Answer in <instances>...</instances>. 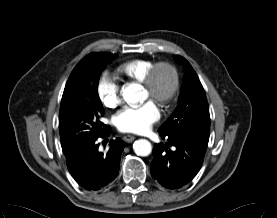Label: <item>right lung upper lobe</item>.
Instances as JSON below:
<instances>
[{
  "label": "right lung upper lobe",
  "instance_id": "1",
  "mask_svg": "<svg viewBox=\"0 0 277 218\" xmlns=\"http://www.w3.org/2000/svg\"><path fill=\"white\" fill-rule=\"evenodd\" d=\"M87 56H100V57H104V58H107V59H114L116 57V55H113V54H110V53H91Z\"/></svg>",
  "mask_w": 277,
  "mask_h": 218
}]
</instances>
